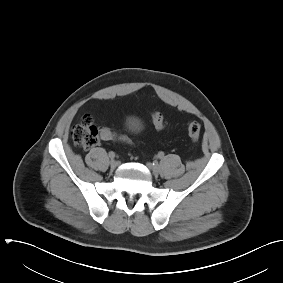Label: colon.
Returning a JSON list of instances; mask_svg holds the SVG:
<instances>
[{"label":"colon","instance_id":"5ec220e1","mask_svg":"<svg viewBox=\"0 0 283 283\" xmlns=\"http://www.w3.org/2000/svg\"><path fill=\"white\" fill-rule=\"evenodd\" d=\"M151 120L154 127L161 131L166 127L164 119L159 112L151 113ZM187 133L192 142H198L201 135V125L198 121H191L187 125ZM71 138L74 144L83 149H90L97 145L99 140L105 142L120 141V137L109 127L97 128L90 115H84L79 123L71 129Z\"/></svg>","mask_w":283,"mask_h":283}]
</instances>
